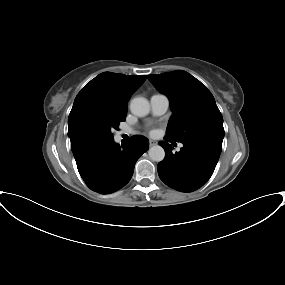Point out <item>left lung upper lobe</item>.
I'll return each mask as SVG.
<instances>
[{"mask_svg":"<svg viewBox=\"0 0 285 285\" xmlns=\"http://www.w3.org/2000/svg\"><path fill=\"white\" fill-rule=\"evenodd\" d=\"M148 79L170 99L173 113L167 126L168 140L222 145V115L213 95L199 80L183 70L148 75Z\"/></svg>","mask_w":285,"mask_h":285,"instance_id":"1","label":"left lung upper lobe"}]
</instances>
